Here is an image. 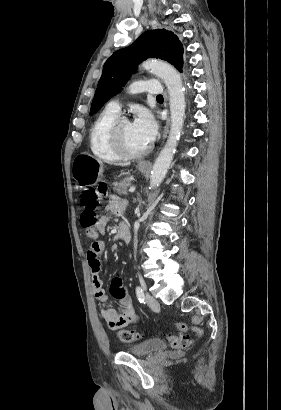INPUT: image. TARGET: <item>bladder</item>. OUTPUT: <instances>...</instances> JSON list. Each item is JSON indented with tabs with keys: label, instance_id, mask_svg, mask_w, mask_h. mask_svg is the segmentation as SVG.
<instances>
[{
	"label": "bladder",
	"instance_id": "obj_1",
	"mask_svg": "<svg viewBox=\"0 0 281 410\" xmlns=\"http://www.w3.org/2000/svg\"><path fill=\"white\" fill-rule=\"evenodd\" d=\"M166 343L159 339H149L127 348L135 356L145 357L166 349Z\"/></svg>",
	"mask_w": 281,
	"mask_h": 410
}]
</instances>
